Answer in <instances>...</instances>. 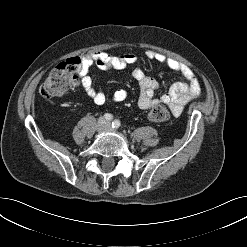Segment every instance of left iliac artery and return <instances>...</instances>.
<instances>
[{
  "label": "left iliac artery",
  "mask_w": 247,
  "mask_h": 247,
  "mask_svg": "<svg viewBox=\"0 0 247 247\" xmlns=\"http://www.w3.org/2000/svg\"><path fill=\"white\" fill-rule=\"evenodd\" d=\"M112 127L118 129L120 127V121L115 120L114 122H112Z\"/></svg>",
  "instance_id": "left-iliac-artery-1"
}]
</instances>
